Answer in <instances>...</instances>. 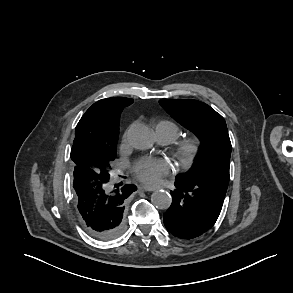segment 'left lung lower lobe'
Masks as SVG:
<instances>
[{
    "mask_svg": "<svg viewBox=\"0 0 293 293\" xmlns=\"http://www.w3.org/2000/svg\"><path fill=\"white\" fill-rule=\"evenodd\" d=\"M175 187L172 204L164 213L165 227L182 239L198 237L215 224L227 188L180 178H176Z\"/></svg>",
    "mask_w": 293,
    "mask_h": 293,
    "instance_id": "left-lung-lower-lobe-1",
    "label": "left lung lower lobe"
}]
</instances>
